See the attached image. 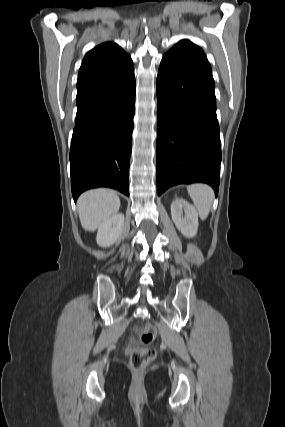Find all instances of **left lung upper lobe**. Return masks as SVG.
Returning <instances> with one entry per match:
<instances>
[{
	"instance_id": "1",
	"label": "left lung upper lobe",
	"mask_w": 285,
	"mask_h": 427,
	"mask_svg": "<svg viewBox=\"0 0 285 427\" xmlns=\"http://www.w3.org/2000/svg\"><path fill=\"white\" fill-rule=\"evenodd\" d=\"M164 56L172 57L181 63L187 64L196 71L213 79L211 66L205 53L189 40L179 41Z\"/></svg>"
}]
</instances>
